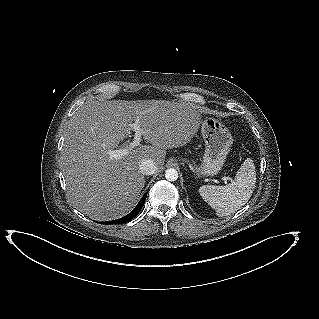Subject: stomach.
Here are the masks:
<instances>
[{"label": "stomach", "instance_id": "obj_1", "mask_svg": "<svg viewBox=\"0 0 319 319\" xmlns=\"http://www.w3.org/2000/svg\"><path fill=\"white\" fill-rule=\"evenodd\" d=\"M201 133L206 145L200 167H195V172L201 176H214L222 169L227 154L233 143V138L222 122L212 117H205L200 122ZM182 164L186 159H180Z\"/></svg>", "mask_w": 319, "mask_h": 319}]
</instances>
